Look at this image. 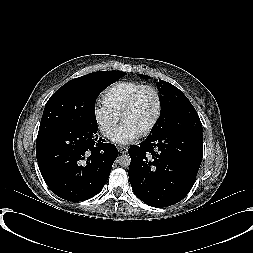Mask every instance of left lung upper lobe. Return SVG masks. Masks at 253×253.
Here are the masks:
<instances>
[{
  "instance_id": "5c2ea615",
  "label": "left lung upper lobe",
  "mask_w": 253,
  "mask_h": 253,
  "mask_svg": "<svg viewBox=\"0 0 253 253\" xmlns=\"http://www.w3.org/2000/svg\"><path fill=\"white\" fill-rule=\"evenodd\" d=\"M139 76L150 78L142 74ZM157 88L160 92L161 114L154 131L148 137L177 130L202 132V124L195 108L177 87L160 80Z\"/></svg>"
}]
</instances>
